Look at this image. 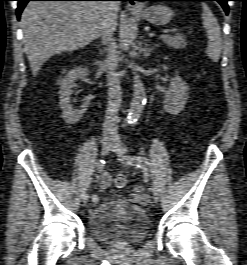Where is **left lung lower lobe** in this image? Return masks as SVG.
I'll use <instances>...</instances> for the list:
<instances>
[{
    "label": "left lung lower lobe",
    "instance_id": "1",
    "mask_svg": "<svg viewBox=\"0 0 247 265\" xmlns=\"http://www.w3.org/2000/svg\"><path fill=\"white\" fill-rule=\"evenodd\" d=\"M137 1H177V0H137ZM192 1H217L221 4L226 14L229 13L227 1L229 0H192Z\"/></svg>",
    "mask_w": 247,
    "mask_h": 265
}]
</instances>
